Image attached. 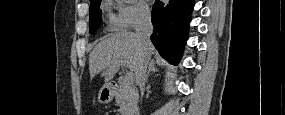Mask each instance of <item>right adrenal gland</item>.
I'll use <instances>...</instances> for the list:
<instances>
[{"label":"right adrenal gland","mask_w":285,"mask_h":115,"mask_svg":"<svg viewBox=\"0 0 285 115\" xmlns=\"http://www.w3.org/2000/svg\"><path fill=\"white\" fill-rule=\"evenodd\" d=\"M157 71L158 70L155 67V62L154 61L150 62L149 65H148V71H147V74H146V82L148 80V77H149L150 73L151 72H157Z\"/></svg>","instance_id":"2a0ac1e0"}]
</instances>
